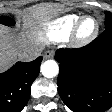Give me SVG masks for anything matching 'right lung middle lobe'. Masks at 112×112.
Masks as SVG:
<instances>
[{
  "instance_id": "right-lung-middle-lobe-1",
  "label": "right lung middle lobe",
  "mask_w": 112,
  "mask_h": 112,
  "mask_svg": "<svg viewBox=\"0 0 112 112\" xmlns=\"http://www.w3.org/2000/svg\"><path fill=\"white\" fill-rule=\"evenodd\" d=\"M0 23L4 24V25H7V26H12V25L15 24V21L10 17L0 16Z\"/></svg>"
}]
</instances>
